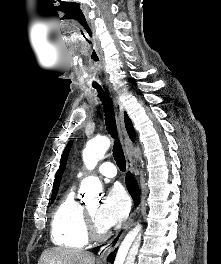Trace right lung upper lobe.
Returning a JSON list of instances; mask_svg holds the SVG:
<instances>
[{
  "label": "right lung upper lobe",
  "mask_w": 221,
  "mask_h": 264,
  "mask_svg": "<svg viewBox=\"0 0 221 264\" xmlns=\"http://www.w3.org/2000/svg\"><path fill=\"white\" fill-rule=\"evenodd\" d=\"M125 125H126V129L127 132L131 138L132 141H135L136 135H135V131L133 129L131 120L129 119V117L127 116V114L125 113Z\"/></svg>",
  "instance_id": "right-lung-upper-lobe-1"
}]
</instances>
